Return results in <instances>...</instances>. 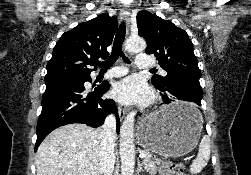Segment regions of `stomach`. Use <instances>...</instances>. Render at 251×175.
I'll list each match as a JSON object with an SVG mask.
<instances>
[{
	"label": "stomach",
	"mask_w": 251,
	"mask_h": 175,
	"mask_svg": "<svg viewBox=\"0 0 251 175\" xmlns=\"http://www.w3.org/2000/svg\"><path fill=\"white\" fill-rule=\"evenodd\" d=\"M202 123L190 100H174L162 111L145 115L139 121L137 141L151 154L186 155L197 145Z\"/></svg>",
	"instance_id": "0dacf381"
}]
</instances>
